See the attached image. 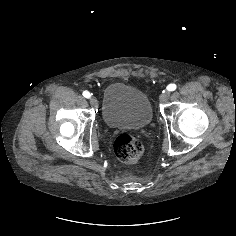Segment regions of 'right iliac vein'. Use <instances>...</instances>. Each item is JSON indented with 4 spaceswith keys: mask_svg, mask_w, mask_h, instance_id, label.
I'll return each mask as SVG.
<instances>
[{
    "mask_svg": "<svg viewBox=\"0 0 236 236\" xmlns=\"http://www.w3.org/2000/svg\"><path fill=\"white\" fill-rule=\"evenodd\" d=\"M89 102L93 108H96L98 106V101L95 97H91Z\"/></svg>",
    "mask_w": 236,
    "mask_h": 236,
    "instance_id": "obj_1",
    "label": "right iliac vein"
}]
</instances>
